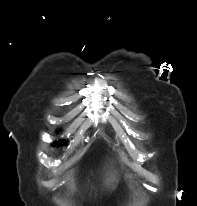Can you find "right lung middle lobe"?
<instances>
[{
	"mask_svg": "<svg viewBox=\"0 0 197 206\" xmlns=\"http://www.w3.org/2000/svg\"><path fill=\"white\" fill-rule=\"evenodd\" d=\"M62 145H66V142L59 141L54 143V146H62Z\"/></svg>",
	"mask_w": 197,
	"mask_h": 206,
	"instance_id": "obj_1",
	"label": "right lung middle lobe"
}]
</instances>
